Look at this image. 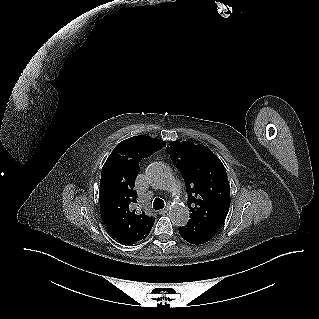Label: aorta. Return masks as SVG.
I'll return each mask as SVG.
<instances>
[{
    "mask_svg": "<svg viewBox=\"0 0 319 319\" xmlns=\"http://www.w3.org/2000/svg\"><path fill=\"white\" fill-rule=\"evenodd\" d=\"M147 180L159 188H167L171 184V173L166 165L154 162L146 169ZM169 218L176 226H184L189 220V210L186 206L176 203L169 210Z\"/></svg>",
    "mask_w": 319,
    "mask_h": 319,
    "instance_id": "obj_1",
    "label": "aorta"
}]
</instances>
